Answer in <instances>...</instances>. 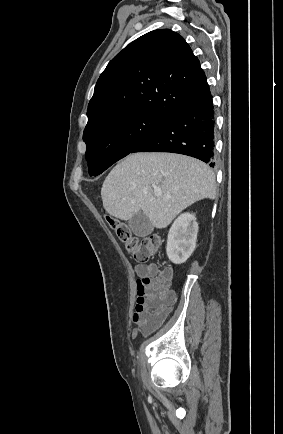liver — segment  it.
Listing matches in <instances>:
<instances>
[{
  "instance_id": "obj_1",
  "label": "liver",
  "mask_w": 283,
  "mask_h": 434,
  "mask_svg": "<svg viewBox=\"0 0 283 434\" xmlns=\"http://www.w3.org/2000/svg\"><path fill=\"white\" fill-rule=\"evenodd\" d=\"M161 195L156 197L155 190ZM101 196L108 214L130 220L142 211L153 227H167L193 203L216 196L211 169L198 159L175 153H134L106 177Z\"/></svg>"
}]
</instances>
